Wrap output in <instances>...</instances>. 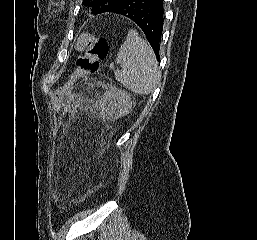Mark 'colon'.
<instances>
[{
  "label": "colon",
  "instance_id": "1",
  "mask_svg": "<svg viewBox=\"0 0 257 240\" xmlns=\"http://www.w3.org/2000/svg\"><path fill=\"white\" fill-rule=\"evenodd\" d=\"M76 51L80 55L76 58V67L70 80L64 86L58 88L54 94V106L57 112L60 111L63 100L73 85L86 75L99 70L100 61L106 59L109 55V44L103 37L84 33L76 43Z\"/></svg>",
  "mask_w": 257,
  "mask_h": 240
}]
</instances>
